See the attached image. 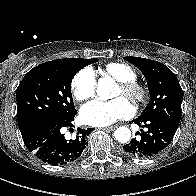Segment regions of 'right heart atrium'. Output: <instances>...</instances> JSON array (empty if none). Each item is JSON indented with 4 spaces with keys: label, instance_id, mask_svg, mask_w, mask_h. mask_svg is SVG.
Instances as JSON below:
<instances>
[{
    "label": "right heart atrium",
    "instance_id": "d8ad5b80",
    "mask_svg": "<svg viewBox=\"0 0 196 196\" xmlns=\"http://www.w3.org/2000/svg\"><path fill=\"white\" fill-rule=\"evenodd\" d=\"M73 97L78 101H84L94 96L96 89V77L92 69L84 68L73 78L71 83Z\"/></svg>",
    "mask_w": 196,
    "mask_h": 196
}]
</instances>
